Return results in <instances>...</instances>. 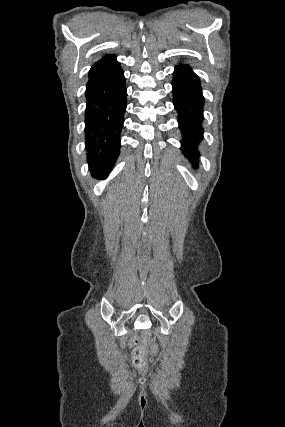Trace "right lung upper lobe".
Wrapping results in <instances>:
<instances>
[{"mask_svg":"<svg viewBox=\"0 0 285 427\" xmlns=\"http://www.w3.org/2000/svg\"><path fill=\"white\" fill-rule=\"evenodd\" d=\"M121 70L120 64L116 61L115 56L106 55L91 67L89 71V81Z\"/></svg>","mask_w":285,"mask_h":427,"instance_id":"right-lung-upper-lobe-1","label":"right lung upper lobe"}]
</instances>
